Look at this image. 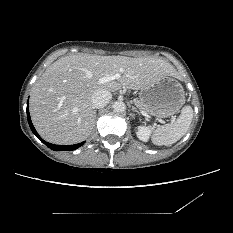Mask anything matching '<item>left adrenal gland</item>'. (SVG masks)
<instances>
[{
  "label": "left adrenal gland",
  "mask_w": 233,
  "mask_h": 233,
  "mask_svg": "<svg viewBox=\"0 0 233 233\" xmlns=\"http://www.w3.org/2000/svg\"><path fill=\"white\" fill-rule=\"evenodd\" d=\"M132 111L137 112V114L140 115V113H139V111L137 110V108L132 107Z\"/></svg>",
  "instance_id": "left-adrenal-gland-1"
}]
</instances>
